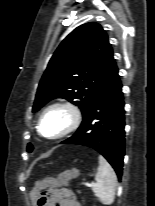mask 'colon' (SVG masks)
Here are the masks:
<instances>
[{"label":"colon","mask_w":155,"mask_h":206,"mask_svg":"<svg viewBox=\"0 0 155 206\" xmlns=\"http://www.w3.org/2000/svg\"><path fill=\"white\" fill-rule=\"evenodd\" d=\"M66 180V177L64 174H61L58 178H46L41 181V186L43 188L53 189L56 187H61L62 183ZM36 202L37 206H42L46 201V193L38 191L36 194Z\"/></svg>","instance_id":"colon-1"}]
</instances>
